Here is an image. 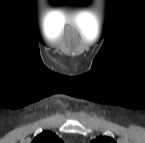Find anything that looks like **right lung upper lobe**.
Returning <instances> with one entry per match:
<instances>
[{
    "label": "right lung upper lobe",
    "mask_w": 145,
    "mask_h": 143,
    "mask_svg": "<svg viewBox=\"0 0 145 143\" xmlns=\"http://www.w3.org/2000/svg\"><path fill=\"white\" fill-rule=\"evenodd\" d=\"M32 143H62V140L49 131H43L34 138Z\"/></svg>",
    "instance_id": "right-lung-upper-lobe-1"
}]
</instances>
